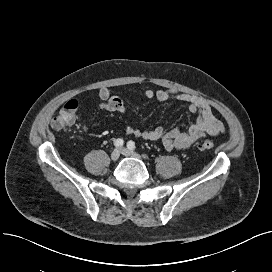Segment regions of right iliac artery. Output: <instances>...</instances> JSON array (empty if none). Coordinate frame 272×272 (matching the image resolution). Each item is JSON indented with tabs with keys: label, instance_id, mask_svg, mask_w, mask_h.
I'll return each instance as SVG.
<instances>
[{
	"label": "right iliac artery",
	"instance_id": "82829eb1",
	"mask_svg": "<svg viewBox=\"0 0 272 272\" xmlns=\"http://www.w3.org/2000/svg\"><path fill=\"white\" fill-rule=\"evenodd\" d=\"M123 144H124V141H123V139H120V138L117 139V140L114 142L115 147H118V148L122 147Z\"/></svg>",
	"mask_w": 272,
	"mask_h": 272
}]
</instances>
